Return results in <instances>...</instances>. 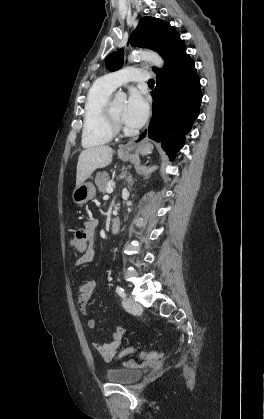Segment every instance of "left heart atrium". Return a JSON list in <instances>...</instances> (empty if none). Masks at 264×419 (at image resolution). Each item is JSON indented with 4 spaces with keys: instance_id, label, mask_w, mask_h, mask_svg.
<instances>
[{
    "instance_id": "obj_1",
    "label": "left heart atrium",
    "mask_w": 264,
    "mask_h": 419,
    "mask_svg": "<svg viewBox=\"0 0 264 419\" xmlns=\"http://www.w3.org/2000/svg\"><path fill=\"white\" fill-rule=\"evenodd\" d=\"M149 114V104L144 93L138 89L129 92L123 119L131 127L142 126Z\"/></svg>"
}]
</instances>
